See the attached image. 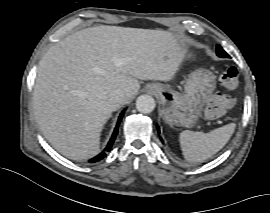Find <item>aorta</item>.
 I'll use <instances>...</instances> for the list:
<instances>
[{
	"instance_id": "aorta-1",
	"label": "aorta",
	"mask_w": 270,
	"mask_h": 213,
	"mask_svg": "<svg viewBox=\"0 0 270 213\" xmlns=\"http://www.w3.org/2000/svg\"><path fill=\"white\" fill-rule=\"evenodd\" d=\"M136 108L141 113H151L155 108V100L150 95H141L136 100Z\"/></svg>"
}]
</instances>
